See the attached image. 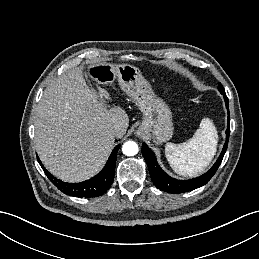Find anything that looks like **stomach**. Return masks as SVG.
<instances>
[{
  "label": "stomach",
  "instance_id": "1",
  "mask_svg": "<svg viewBox=\"0 0 259 259\" xmlns=\"http://www.w3.org/2000/svg\"><path fill=\"white\" fill-rule=\"evenodd\" d=\"M86 76L97 84H112L115 79L121 89L140 107L143 121L137 135H149L157 143L172 138V113L168 105L152 90L140 70L129 64L116 65L108 62L90 64Z\"/></svg>",
  "mask_w": 259,
  "mask_h": 259
}]
</instances>
